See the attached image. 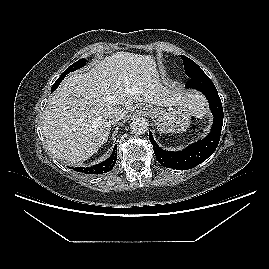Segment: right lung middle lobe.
I'll list each match as a JSON object with an SVG mask.
<instances>
[{
    "label": "right lung middle lobe",
    "mask_w": 269,
    "mask_h": 269,
    "mask_svg": "<svg viewBox=\"0 0 269 269\" xmlns=\"http://www.w3.org/2000/svg\"><path fill=\"white\" fill-rule=\"evenodd\" d=\"M85 64H86V59H80L79 61L75 62L70 67H68L63 73L67 75L68 73L83 67Z\"/></svg>",
    "instance_id": "obj_1"
}]
</instances>
